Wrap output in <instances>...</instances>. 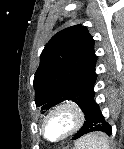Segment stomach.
Listing matches in <instances>:
<instances>
[{
	"label": "stomach",
	"mask_w": 124,
	"mask_h": 149,
	"mask_svg": "<svg viewBox=\"0 0 124 149\" xmlns=\"http://www.w3.org/2000/svg\"><path fill=\"white\" fill-rule=\"evenodd\" d=\"M91 136H95V137H98V135H91ZM91 136H88V138H90ZM76 149H79V148H76Z\"/></svg>",
	"instance_id": "1"
}]
</instances>
